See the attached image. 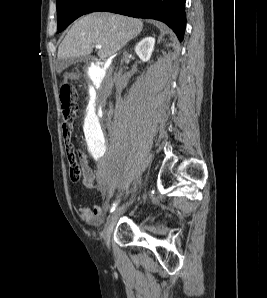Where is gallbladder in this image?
<instances>
[{"mask_svg": "<svg viewBox=\"0 0 267 298\" xmlns=\"http://www.w3.org/2000/svg\"><path fill=\"white\" fill-rule=\"evenodd\" d=\"M88 57L87 56H82L79 58H75V59H58L57 61V65L56 68L58 71H62L66 68H68L71 64L76 63L78 61H87Z\"/></svg>", "mask_w": 267, "mask_h": 298, "instance_id": "gallbladder-1", "label": "gallbladder"}]
</instances>
